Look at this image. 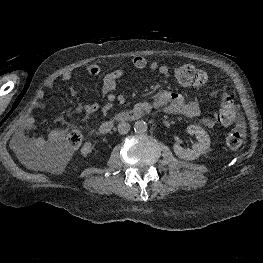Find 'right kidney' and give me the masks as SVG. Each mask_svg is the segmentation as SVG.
<instances>
[{"label":"right kidney","mask_w":263,"mask_h":263,"mask_svg":"<svg viewBox=\"0 0 263 263\" xmlns=\"http://www.w3.org/2000/svg\"><path fill=\"white\" fill-rule=\"evenodd\" d=\"M92 150H93V145L90 141H88L82 146L80 151L83 156H87L92 152Z\"/></svg>","instance_id":"right-kidney-1"}]
</instances>
